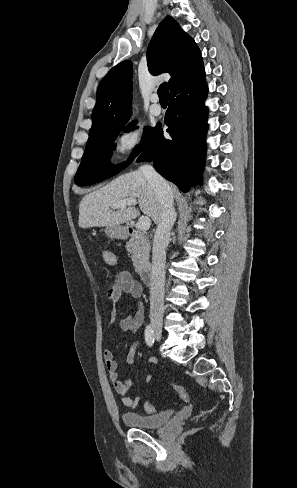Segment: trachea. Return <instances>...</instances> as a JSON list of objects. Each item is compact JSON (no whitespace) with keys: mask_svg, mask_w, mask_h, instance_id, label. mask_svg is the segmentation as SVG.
<instances>
[{"mask_svg":"<svg viewBox=\"0 0 297 488\" xmlns=\"http://www.w3.org/2000/svg\"><path fill=\"white\" fill-rule=\"evenodd\" d=\"M161 104L168 103L169 88L167 83H162L157 91Z\"/></svg>","mask_w":297,"mask_h":488,"instance_id":"trachea-1","label":"trachea"}]
</instances>
